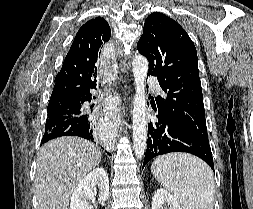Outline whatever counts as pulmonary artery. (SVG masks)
Wrapping results in <instances>:
<instances>
[{
	"instance_id": "e3ab8cb5",
	"label": "pulmonary artery",
	"mask_w": 253,
	"mask_h": 209,
	"mask_svg": "<svg viewBox=\"0 0 253 209\" xmlns=\"http://www.w3.org/2000/svg\"><path fill=\"white\" fill-rule=\"evenodd\" d=\"M147 84H148V86H149L152 90H154L157 94H163V92L161 91L160 85H159V83H158V81H157L156 78H153V77L149 78V79L147 80Z\"/></svg>"
}]
</instances>
